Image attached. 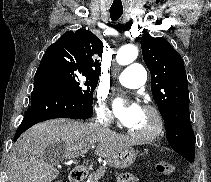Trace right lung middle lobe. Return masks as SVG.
I'll return each mask as SVG.
<instances>
[{
  "instance_id": "right-lung-middle-lobe-1",
  "label": "right lung middle lobe",
  "mask_w": 211,
  "mask_h": 182,
  "mask_svg": "<svg viewBox=\"0 0 211 182\" xmlns=\"http://www.w3.org/2000/svg\"><path fill=\"white\" fill-rule=\"evenodd\" d=\"M41 70L47 72L64 89L72 92L74 96L88 104H93V92L98 79L88 77L76 69L65 67L57 63H50Z\"/></svg>"
}]
</instances>
